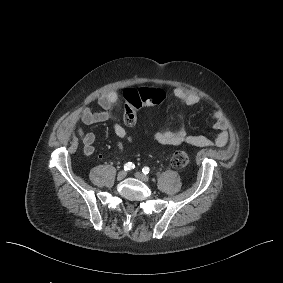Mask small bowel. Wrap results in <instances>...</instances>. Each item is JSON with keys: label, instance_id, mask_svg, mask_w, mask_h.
Instances as JSON below:
<instances>
[{"label": "small bowel", "instance_id": "obj_1", "mask_svg": "<svg viewBox=\"0 0 283 283\" xmlns=\"http://www.w3.org/2000/svg\"><path fill=\"white\" fill-rule=\"evenodd\" d=\"M173 95L185 106H193L200 101L198 95L188 92L187 90L176 87L173 90ZM118 101V95L115 92H110L102 95L98 99L100 106L99 111H93L89 107H83L77 115L70 117L65 124L66 131L77 130L79 139L83 144V152L86 156H91L95 152L96 136L92 132H84L82 128L77 127L79 122L85 125H94L101 122H111L114 133L117 137L116 148L122 150L125 143H132L134 138L126 131L119 123L115 107ZM213 128L217 131L214 140L202 136L188 134L185 128H180L175 131H157L154 133V139L162 145L177 146L181 144H189L196 147H223L229 139V123L221 110H217L210 116ZM101 158V156H100Z\"/></svg>", "mask_w": 283, "mask_h": 283}]
</instances>
